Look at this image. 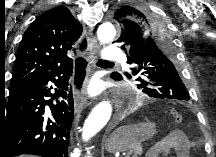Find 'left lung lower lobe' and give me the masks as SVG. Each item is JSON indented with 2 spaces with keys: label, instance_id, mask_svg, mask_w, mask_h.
<instances>
[{
  "label": "left lung lower lobe",
  "instance_id": "0a47b994",
  "mask_svg": "<svg viewBox=\"0 0 216 157\" xmlns=\"http://www.w3.org/2000/svg\"><path fill=\"white\" fill-rule=\"evenodd\" d=\"M112 77H115V78H117L115 75H112Z\"/></svg>",
  "mask_w": 216,
  "mask_h": 157
}]
</instances>
